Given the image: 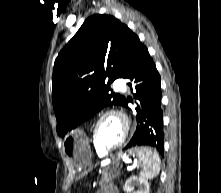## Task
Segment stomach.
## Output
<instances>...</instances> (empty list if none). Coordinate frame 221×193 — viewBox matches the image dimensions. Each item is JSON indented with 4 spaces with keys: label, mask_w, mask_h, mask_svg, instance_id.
Returning <instances> with one entry per match:
<instances>
[{
    "label": "stomach",
    "mask_w": 221,
    "mask_h": 193,
    "mask_svg": "<svg viewBox=\"0 0 221 193\" xmlns=\"http://www.w3.org/2000/svg\"><path fill=\"white\" fill-rule=\"evenodd\" d=\"M64 138V155L68 159H74L76 167H91V150H88V142L83 137L80 129H71L70 133H61ZM89 179H96V174H89Z\"/></svg>",
    "instance_id": "stomach-1"
}]
</instances>
